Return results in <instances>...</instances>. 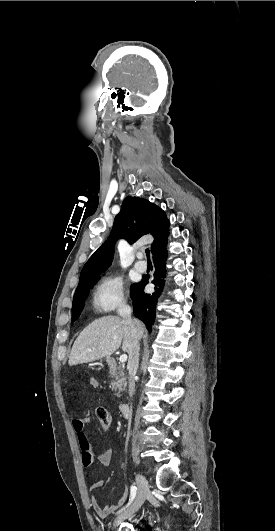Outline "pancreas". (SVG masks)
Instances as JSON below:
<instances>
[{
  "label": "pancreas",
  "mask_w": 275,
  "mask_h": 531,
  "mask_svg": "<svg viewBox=\"0 0 275 531\" xmlns=\"http://www.w3.org/2000/svg\"><path fill=\"white\" fill-rule=\"evenodd\" d=\"M109 371V377H111V385L114 391H118L115 395H119V391H122L123 387H127V377H125L124 369L122 365H117L116 361L112 359Z\"/></svg>",
  "instance_id": "cf45deb5"
}]
</instances>
